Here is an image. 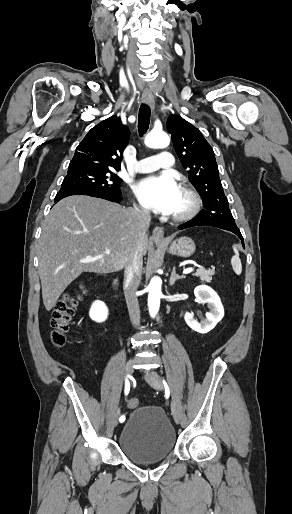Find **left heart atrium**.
Instances as JSON below:
<instances>
[{
    "label": "left heart atrium",
    "instance_id": "39dd6f15",
    "mask_svg": "<svg viewBox=\"0 0 292 514\" xmlns=\"http://www.w3.org/2000/svg\"><path fill=\"white\" fill-rule=\"evenodd\" d=\"M135 193L146 209L158 213H173L181 188L173 175L163 173L140 181L135 188Z\"/></svg>",
    "mask_w": 292,
    "mask_h": 514
}]
</instances>
